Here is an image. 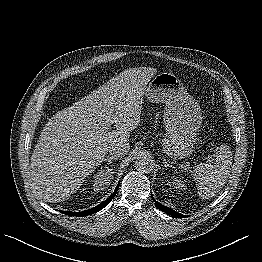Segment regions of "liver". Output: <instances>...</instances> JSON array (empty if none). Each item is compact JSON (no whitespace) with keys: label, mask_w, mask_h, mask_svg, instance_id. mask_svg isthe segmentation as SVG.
Returning a JSON list of instances; mask_svg holds the SVG:
<instances>
[{"label":"liver","mask_w":262,"mask_h":262,"mask_svg":"<svg viewBox=\"0 0 262 262\" xmlns=\"http://www.w3.org/2000/svg\"><path fill=\"white\" fill-rule=\"evenodd\" d=\"M156 68H130L45 125L31 157L30 182L47 202L71 197L102 163L109 147L127 142L139 122L143 95ZM112 124L116 130L110 131Z\"/></svg>","instance_id":"obj_1"}]
</instances>
